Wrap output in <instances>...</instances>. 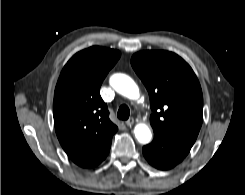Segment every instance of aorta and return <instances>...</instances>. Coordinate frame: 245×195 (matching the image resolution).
<instances>
[{
  "mask_svg": "<svg viewBox=\"0 0 245 195\" xmlns=\"http://www.w3.org/2000/svg\"><path fill=\"white\" fill-rule=\"evenodd\" d=\"M110 85L119 94L129 98L137 99L139 97V88L136 83L127 75L117 73L111 76ZM134 134L138 142L147 144L152 138L151 131L146 124H137L134 128Z\"/></svg>",
  "mask_w": 245,
  "mask_h": 195,
  "instance_id": "1",
  "label": "aorta"
}]
</instances>
